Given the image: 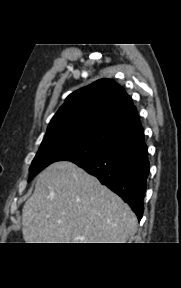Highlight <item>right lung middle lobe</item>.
Wrapping results in <instances>:
<instances>
[{
    "instance_id": "obj_1",
    "label": "right lung middle lobe",
    "mask_w": 181,
    "mask_h": 288,
    "mask_svg": "<svg viewBox=\"0 0 181 288\" xmlns=\"http://www.w3.org/2000/svg\"><path fill=\"white\" fill-rule=\"evenodd\" d=\"M107 151L105 147L80 137L43 140L32 161L28 181L56 161H72L77 158L100 155Z\"/></svg>"
}]
</instances>
